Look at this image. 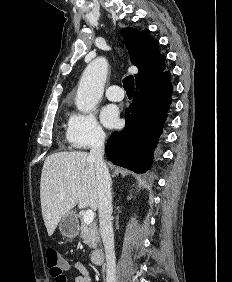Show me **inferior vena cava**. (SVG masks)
Listing matches in <instances>:
<instances>
[{
    "label": "inferior vena cava",
    "mask_w": 232,
    "mask_h": 282,
    "mask_svg": "<svg viewBox=\"0 0 232 282\" xmlns=\"http://www.w3.org/2000/svg\"><path fill=\"white\" fill-rule=\"evenodd\" d=\"M105 133L98 132L92 143L89 160L95 165L97 175V204L99 210V226L106 255V278L108 282H115L116 257L114 251V233L111 222L112 195L111 177L103 159Z\"/></svg>",
    "instance_id": "inferior-vena-cava-1"
}]
</instances>
